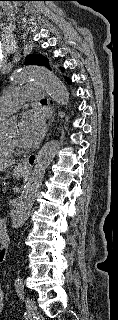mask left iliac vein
<instances>
[{"mask_svg": "<svg viewBox=\"0 0 118 320\" xmlns=\"http://www.w3.org/2000/svg\"><path fill=\"white\" fill-rule=\"evenodd\" d=\"M26 308L28 312L31 314H33L37 310L36 303L33 298L31 297L26 298Z\"/></svg>", "mask_w": 118, "mask_h": 320, "instance_id": "obj_1", "label": "left iliac vein"}]
</instances>
